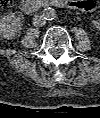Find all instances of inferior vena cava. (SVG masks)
<instances>
[{
  "mask_svg": "<svg viewBox=\"0 0 100 118\" xmlns=\"http://www.w3.org/2000/svg\"><path fill=\"white\" fill-rule=\"evenodd\" d=\"M32 23L35 27H42L46 24V20L43 15H34Z\"/></svg>",
  "mask_w": 100,
  "mask_h": 118,
  "instance_id": "1",
  "label": "inferior vena cava"
}]
</instances>
